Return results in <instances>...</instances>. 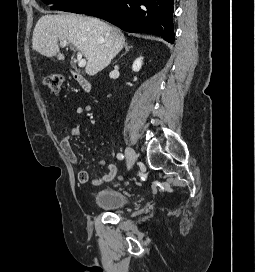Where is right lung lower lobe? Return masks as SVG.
<instances>
[{"instance_id": "right-lung-lower-lobe-1", "label": "right lung lower lobe", "mask_w": 255, "mask_h": 272, "mask_svg": "<svg viewBox=\"0 0 255 272\" xmlns=\"http://www.w3.org/2000/svg\"><path fill=\"white\" fill-rule=\"evenodd\" d=\"M173 0H98L85 14L127 32L149 33L174 42Z\"/></svg>"}]
</instances>
